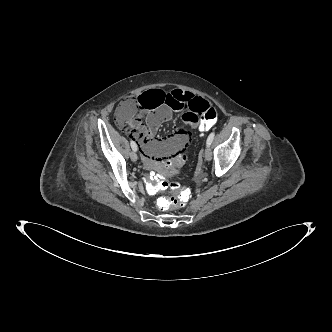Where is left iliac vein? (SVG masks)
Masks as SVG:
<instances>
[{"label":"left iliac vein","instance_id":"1","mask_svg":"<svg viewBox=\"0 0 332 332\" xmlns=\"http://www.w3.org/2000/svg\"><path fill=\"white\" fill-rule=\"evenodd\" d=\"M204 158L207 161H210L212 159V152H211L210 146H206V148L204 150Z\"/></svg>","mask_w":332,"mask_h":332}]
</instances>
